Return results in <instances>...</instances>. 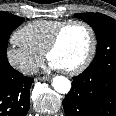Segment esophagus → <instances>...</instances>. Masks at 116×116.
Masks as SVG:
<instances>
[{
    "label": "esophagus",
    "mask_w": 116,
    "mask_h": 116,
    "mask_svg": "<svg viewBox=\"0 0 116 116\" xmlns=\"http://www.w3.org/2000/svg\"><path fill=\"white\" fill-rule=\"evenodd\" d=\"M50 79V76H43V77H39L36 80H40V81H48Z\"/></svg>",
    "instance_id": "1"
}]
</instances>
